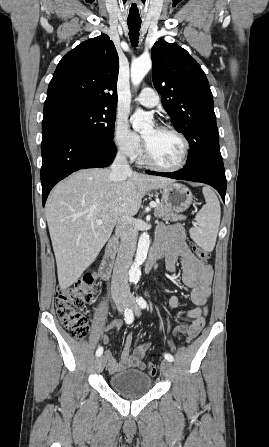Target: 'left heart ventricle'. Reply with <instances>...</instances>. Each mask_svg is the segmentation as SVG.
I'll use <instances>...</instances> for the list:
<instances>
[{
    "label": "left heart ventricle",
    "mask_w": 269,
    "mask_h": 447,
    "mask_svg": "<svg viewBox=\"0 0 269 447\" xmlns=\"http://www.w3.org/2000/svg\"><path fill=\"white\" fill-rule=\"evenodd\" d=\"M150 149L152 159L165 166H174L181 160L184 144L175 133L151 126L142 133Z\"/></svg>",
    "instance_id": "1"
}]
</instances>
